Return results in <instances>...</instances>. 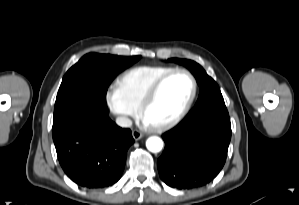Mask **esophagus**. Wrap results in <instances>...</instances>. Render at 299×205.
Segmentation results:
<instances>
[{
    "mask_svg": "<svg viewBox=\"0 0 299 205\" xmlns=\"http://www.w3.org/2000/svg\"><path fill=\"white\" fill-rule=\"evenodd\" d=\"M132 136H133L134 140L137 141V140H140L143 137V134L138 130H133L132 131Z\"/></svg>",
    "mask_w": 299,
    "mask_h": 205,
    "instance_id": "esophagus-1",
    "label": "esophagus"
}]
</instances>
